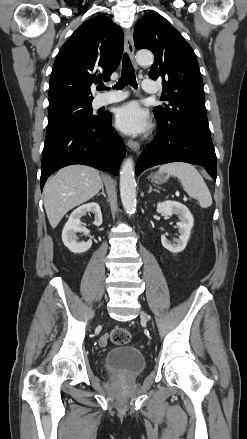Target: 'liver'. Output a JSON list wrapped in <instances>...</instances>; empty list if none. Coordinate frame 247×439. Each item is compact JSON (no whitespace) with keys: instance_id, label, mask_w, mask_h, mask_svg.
I'll use <instances>...</instances> for the list:
<instances>
[{"instance_id":"6515ba94","label":"liver","mask_w":247,"mask_h":439,"mask_svg":"<svg viewBox=\"0 0 247 439\" xmlns=\"http://www.w3.org/2000/svg\"><path fill=\"white\" fill-rule=\"evenodd\" d=\"M99 172L86 165L60 169L44 187V207L49 223L56 228L71 209L93 198L102 187Z\"/></svg>"}]
</instances>
